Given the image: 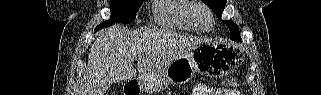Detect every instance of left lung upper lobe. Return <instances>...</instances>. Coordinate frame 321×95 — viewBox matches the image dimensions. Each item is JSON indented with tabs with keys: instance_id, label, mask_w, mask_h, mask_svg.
Returning <instances> with one entry per match:
<instances>
[{
	"instance_id": "left-lung-upper-lobe-1",
	"label": "left lung upper lobe",
	"mask_w": 321,
	"mask_h": 95,
	"mask_svg": "<svg viewBox=\"0 0 321 95\" xmlns=\"http://www.w3.org/2000/svg\"><path fill=\"white\" fill-rule=\"evenodd\" d=\"M208 7L216 13L219 19H221L222 12L226 5V0H202ZM230 30V35L232 40H237L240 38L239 27L231 21H223ZM241 39V38H240Z\"/></svg>"
}]
</instances>
